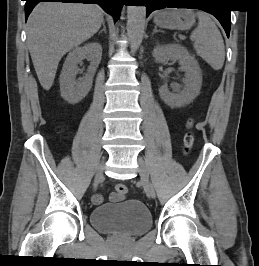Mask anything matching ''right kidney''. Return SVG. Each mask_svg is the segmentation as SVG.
I'll use <instances>...</instances> for the list:
<instances>
[{
    "instance_id": "right-kidney-1",
    "label": "right kidney",
    "mask_w": 259,
    "mask_h": 266,
    "mask_svg": "<svg viewBox=\"0 0 259 266\" xmlns=\"http://www.w3.org/2000/svg\"><path fill=\"white\" fill-rule=\"evenodd\" d=\"M102 46L97 42L87 43L82 47H76L67 56L60 74V92L63 99L71 104L80 102L89 93L93 75L101 61ZM85 58L91 63L88 73L80 82L75 80L78 64Z\"/></svg>"
}]
</instances>
